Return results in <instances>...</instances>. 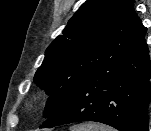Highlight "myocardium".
Wrapping results in <instances>:
<instances>
[{
    "mask_svg": "<svg viewBox=\"0 0 151 131\" xmlns=\"http://www.w3.org/2000/svg\"><path fill=\"white\" fill-rule=\"evenodd\" d=\"M32 101H33V102H34V101H36V98H34ZM32 101L29 103V105H31V104H32Z\"/></svg>",
    "mask_w": 151,
    "mask_h": 131,
    "instance_id": "obj_1",
    "label": "myocardium"
}]
</instances>
